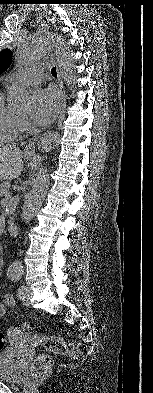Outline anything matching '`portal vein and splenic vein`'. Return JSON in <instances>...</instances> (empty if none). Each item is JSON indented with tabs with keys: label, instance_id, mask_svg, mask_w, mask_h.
<instances>
[{
	"label": "portal vein and splenic vein",
	"instance_id": "portal-vein-and-splenic-vein-1",
	"mask_svg": "<svg viewBox=\"0 0 153 393\" xmlns=\"http://www.w3.org/2000/svg\"><path fill=\"white\" fill-rule=\"evenodd\" d=\"M12 197V194L11 193H8L6 196H5V198L8 200V199H10Z\"/></svg>",
	"mask_w": 153,
	"mask_h": 393
}]
</instances>
